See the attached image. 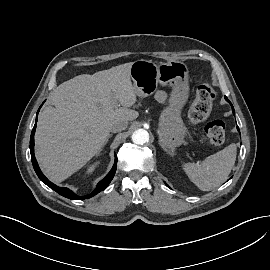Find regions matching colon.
I'll return each instance as SVG.
<instances>
[{"label": "colon", "instance_id": "colon-1", "mask_svg": "<svg viewBox=\"0 0 270 270\" xmlns=\"http://www.w3.org/2000/svg\"><path fill=\"white\" fill-rule=\"evenodd\" d=\"M215 90L208 84H201L196 91L195 99L189 108L188 118L191 123L204 121L211 112L215 99ZM225 138V125L221 120H211L205 124L203 139L211 145H220Z\"/></svg>", "mask_w": 270, "mask_h": 270}]
</instances>
